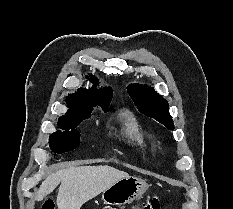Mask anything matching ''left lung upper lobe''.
Listing matches in <instances>:
<instances>
[{
    "mask_svg": "<svg viewBox=\"0 0 233 209\" xmlns=\"http://www.w3.org/2000/svg\"><path fill=\"white\" fill-rule=\"evenodd\" d=\"M128 93L139 111L146 116L154 118L168 129L173 130L174 124L169 113L168 102L149 86L130 84Z\"/></svg>",
    "mask_w": 233,
    "mask_h": 209,
    "instance_id": "5c2ea615",
    "label": "left lung upper lobe"
}]
</instances>
